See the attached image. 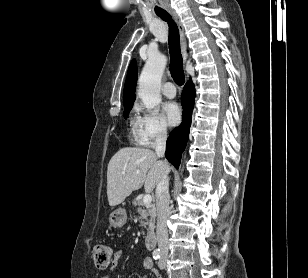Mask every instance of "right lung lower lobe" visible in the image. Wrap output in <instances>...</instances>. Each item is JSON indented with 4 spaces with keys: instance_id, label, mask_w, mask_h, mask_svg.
<instances>
[{
    "instance_id": "obj_1",
    "label": "right lung lower lobe",
    "mask_w": 308,
    "mask_h": 278,
    "mask_svg": "<svg viewBox=\"0 0 308 278\" xmlns=\"http://www.w3.org/2000/svg\"><path fill=\"white\" fill-rule=\"evenodd\" d=\"M194 99V85L192 82H188L182 91V124L172 131L166 143L165 156L176 168H178L180 164L181 154L184 151L188 141Z\"/></svg>"
}]
</instances>
